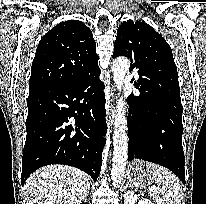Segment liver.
<instances>
[{
	"label": "liver",
	"mask_w": 206,
	"mask_h": 204,
	"mask_svg": "<svg viewBox=\"0 0 206 204\" xmlns=\"http://www.w3.org/2000/svg\"><path fill=\"white\" fill-rule=\"evenodd\" d=\"M89 176L67 165H49L36 170L25 182L27 204H81Z\"/></svg>",
	"instance_id": "1"
}]
</instances>
